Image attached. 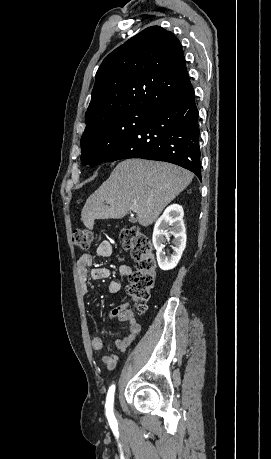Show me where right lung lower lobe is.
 Returning <instances> with one entry per match:
<instances>
[{"label": "right lung lower lobe", "mask_w": 271, "mask_h": 459, "mask_svg": "<svg viewBox=\"0 0 271 459\" xmlns=\"http://www.w3.org/2000/svg\"><path fill=\"white\" fill-rule=\"evenodd\" d=\"M198 109L189 82L163 100L155 111L105 162L142 158L177 164L201 180Z\"/></svg>", "instance_id": "right-lung-lower-lobe-1"}]
</instances>
